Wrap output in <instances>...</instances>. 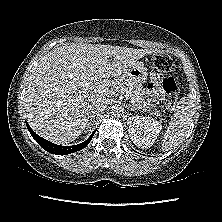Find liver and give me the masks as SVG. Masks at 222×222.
Here are the masks:
<instances>
[{
	"label": "liver",
	"instance_id": "6515ba94",
	"mask_svg": "<svg viewBox=\"0 0 222 222\" xmlns=\"http://www.w3.org/2000/svg\"><path fill=\"white\" fill-rule=\"evenodd\" d=\"M153 52L75 43L53 49L40 59L28 81L24 110L30 127L56 144L74 141L88 123L91 104L117 92V82L128 68ZM108 77L121 79L102 81ZM84 83L89 85L82 86Z\"/></svg>",
	"mask_w": 222,
	"mask_h": 222
}]
</instances>
